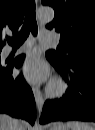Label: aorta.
Instances as JSON below:
<instances>
[{"instance_id": "1", "label": "aorta", "mask_w": 95, "mask_h": 130, "mask_svg": "<svg viewBox=\"0 0 95 130\" xmlns=\"http://www.w3.org/2000/svg\"><path fill=\"white\" fill-rule=\"evenodd\" d=\"M36 15L40 21L51 22L54 19V10L50 7H41L38 9Z\"/></svg>"}]
</instances>
